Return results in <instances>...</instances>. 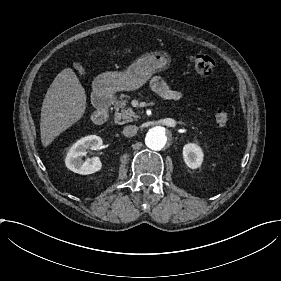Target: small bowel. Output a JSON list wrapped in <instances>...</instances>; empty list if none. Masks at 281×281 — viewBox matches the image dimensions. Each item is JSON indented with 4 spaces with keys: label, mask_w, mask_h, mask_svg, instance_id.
<instances>
[{
    "label": "small bowel",
    "mask_w": 281,
    "mask_h": 281,
    "mask_svg": "<svg viewBox=\"0 0 281 281\" xmlns=\"http://www.w3.org/2000/svg\"><path fill=\"white\" fill-rule=\"evenodd\" d=\"M150 86L158 95L167 100L180 101L183 98L180 91L171 89L168 84L158 76L150 79Z\"/></svg>",
    "instance_id": "small-bowel-1"
}]
</instances>
